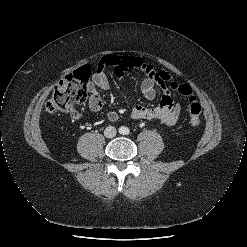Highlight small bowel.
Here are the masks:
<instances>
[{"label":"small bowel","instance_id":"1","mask_svg":"<svg viewBox=\"0 0 247 247\" xmlns=\"http://www.w3.org/2000/svg\"><path fill=\"white\" fill-rule=\"evenodd\" d=\"M108 68H113L115 75L119 78L130 69H138L144 73L145 79L141 84V91L148 100L155 99L157 95L156 87H159L162 91V97L157 106L137 105L130 112L131 118L136 120H154L169 126L174 125L179 120L182 106L171 97L169 84L176 82L172 80L170 74L164 70L155 69L143 58L128 55L109 54L103 56L100 60L97 70L86 85L87 91L90 93L89 107L92 111L98 112L102 109L101 93L109 88V82L105 75V70ZM72 117L75 120H79L81 115L74 112ZM107 118L111 122H116L119 120L120 115L117 111H110Z\"/></svg>","mask_w":247,"mask_h":247}]
</instances>
